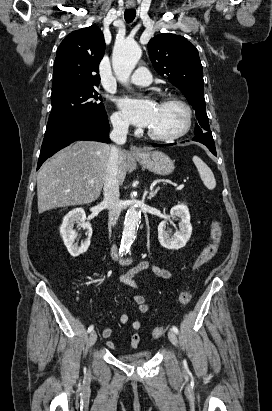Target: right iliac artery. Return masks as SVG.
<instances>
[{
	"mask_svg": "<svg viewBox=\"0 0 272 411\" xmlns=\"http://www.w3.org/2000/svg\"><path fill=\"white\" fill-rule=\"evenodd\" d=\"M93 329H94V326H93V325L89 326V328H88V333L92 332Z\"/></svg>",
	"mask_w": 272,
	"mask_h": 411,
	"instance_id": "82829eb1",
	"label": "right iliac artery"
}]
</instances>
